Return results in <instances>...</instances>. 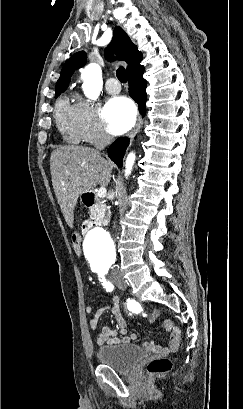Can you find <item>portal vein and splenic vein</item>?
Wrapping results in <instances>:
<instances>
[{
	"label": "portal vein and splenic vein",
	"instance_id": "18ae733b",
	"mask_svg": "<svg viewBox=\"0 0 243 409\" xmlns=\"http://www.w3.org/2000/svg\"><path fill=\"white\" fill-rule=\"evenodd\" d=\"M107 190L105 187H101L98 192H97V196L99 198H104L106 196Z\"/></svg>",
	"mask_w": 243,
	"mask_h": 409
}]
</instances>
